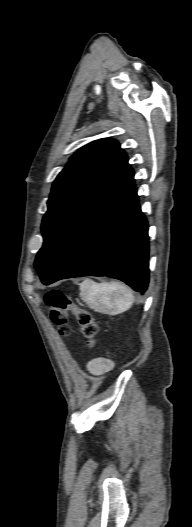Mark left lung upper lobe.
I'll use <instances>...</instances> for the list:
<instances>
[{
    "mask_svg": "<svg viewBox=\"0 0 192 527\" xmlns=\"http://www.w3.org/2000/svg\"><path fill=\"white\" fill-rule=\"evenodd\" d=\"M131 170L126 153L113 139L80 148L53 183L42 222L44 243L35 269L46 275L77 230L112 188Z\"/></svg>",
    "mask_w": 192,
    "mask_h": 527,
    "instance_id": "1",
    "label": "left lung upper lobe"
}]
</instances>
